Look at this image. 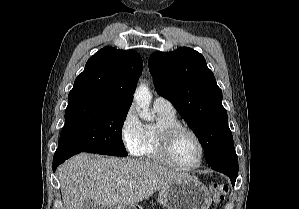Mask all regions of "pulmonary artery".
Here are the masks:
<instances>
[{
    "mask_svg": "<svg viewBox=\"0 0 299 209\" xmlns=\"http://www.w3.org/2000/svg\"><path fill=\"white\" fill-rule=\"evenodd\" d=\"M153 106L155 109L165 112V113L175 114V112H176L172 103L162 96H157L154 99Z\"/></svg>",
    "mask_w": 299,
    "mask_h": 209,
    "instance_id": "1",
    "label": "pulmonary artery"
}]
</instances>
